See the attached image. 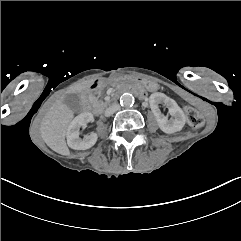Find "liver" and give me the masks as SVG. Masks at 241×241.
I'll return each mask as SVG.
<instances>
[{"instance_id": "6515ba94", "label": "liver", "mask_w": 241, "mask_h": 241, "mask_svg": "<svg viewBox=\"0 0 241 241\" xmlns=\"http://www.w3.org/2000/svg\"><path fill=\"white\" fill-rule=\"evenodd\" d=\"M94 83L95 79L84 81L67 93L80 94ZM64 101V97H61L50 107L42 121L40 133L46 145L54 152L63 156H70L65 138L68 126L74 118V111Z\"/></svg>"}]
</instances>
